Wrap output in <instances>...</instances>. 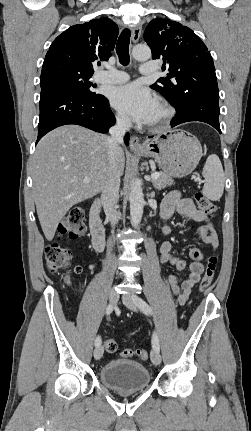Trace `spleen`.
<instances>
[{"label":"spleen","instance_id":"spleen-1","mask_svg":"<svg viewBox=\"0 0 251 431\" xmlns=\"http://www.w3.org/2000/svg\"><path fill=\"white\" fill-rule=\"evenodd\" d=\"M202 174L205 179L203 194L212 201L219 200L223 194L225 176L217 155L212 154L207 158Z\"/></svg>","mask_w":251,"mask_h":431}]
</instances>
